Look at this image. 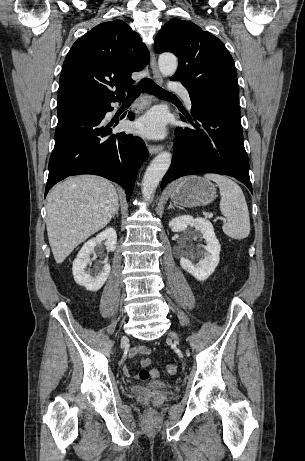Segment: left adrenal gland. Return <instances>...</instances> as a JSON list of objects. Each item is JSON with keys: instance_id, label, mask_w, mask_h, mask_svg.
Masks as SVG:
<instances>
[{"instance_id": "obj_1", "label": "left adrenal gland", "mask_w": 305, "mask_h": 461, "mask_svg": "<svg viewBox=\"0 0 305 461\" xmlns=\"http://www.w3.org/2000/svg\"><path fill=\"white\" fill-rule=\"evenodd\" d=\"M168 209H175V207L173 206L172 202H170L169 206H168Z\"/></svg>"}]
</instances>
